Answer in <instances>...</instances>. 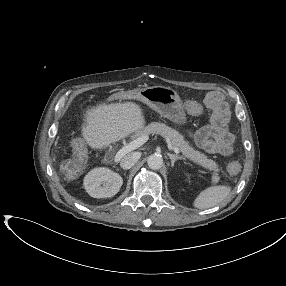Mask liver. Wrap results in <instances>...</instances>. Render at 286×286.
<instances>
[{"label":"liver","instance_id":"obj_1","mask_svg":"<svg viewBox=\"0 0 286 286\" xmlns=\"http://www.w3.org/2000/svg\"><path fill=\"white\" fill-rule=\"evenodd\" d=\"M85 118L82 136L93 149L106 148L145 124L143 111L134 102L100 104L88 109Z\"/></svg>","mask_w":286,"mask_h":286}]
</instances>
